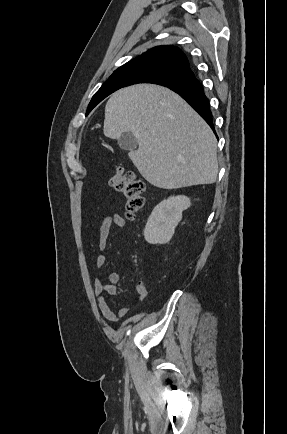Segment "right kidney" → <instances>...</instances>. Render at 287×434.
I'll return each mask as SVG.
<instances>
[{"label": "right kidney", "mask_w": 287, "mask_h": 434, "mask_svg": "<svg viewBox=\"0 0 287 434\" xmlns=\"http://www.w3.org/2000/svg\"><path fill=\"white\" fill-rule=\"evenodd\" d=\"M191 205L187 196H171L152 211L144 229V238L150 244H166L174 235L182 219V212Z\"/></svg>", "instance_id": "ca27d5eb"}]
</instances>
